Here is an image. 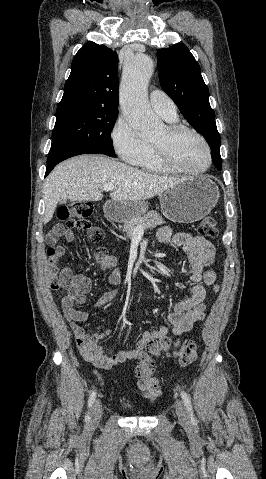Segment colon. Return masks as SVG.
I'll return each instance as SVG.
<instances>
[{
    "instance_id": "obj_1",
    "label": "colon",
    "mask_w": 266,
    "mask_h": 479,
    "mask_svg": "<svg viewBox=\"0 0 266 479\" xmlns=\"http://www.w3.org/2000/svg\"><path fill=\"white\" fill-rule=\"evenodd\" d=\"M93 211L89 201H76L59 208L58 219L65 224L57 225L47 234V242L50 245L48 255L51 262H56L65 250L60 245H54L63 230H77L85 234L90 241L100 242L103 239L102 230L93 225L90 216ZM199 231L207 237H217L218 229L213 217H205L200 224ZM163 353H170L177 358L181 366L193 364L199 353V342L194 339L171 340L168 337L156 341H150L143 352L139 355V364L135 368L137 384L143 395L149 400H156L161 392L159 382L154 376L155 358Z\"/></svg>"
}]
</instances>
